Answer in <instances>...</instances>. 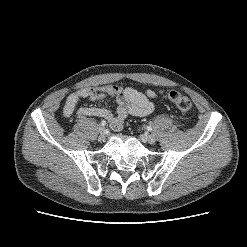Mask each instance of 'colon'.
<instances>
[{
    "label": "colon",
    "mask_w": 247,
    "mask_h": 247,
    "mask_svg": "<svg viewBox=\"0 0 247 247\" xmlns=\"http://www.w3.org/2000/svg\"><path fill=\"white\" fill-rule=\"evenodd\" d=\"M168 100L182 112H188L192 108L190 99L177 91H169L166 94Z\"/></svg>",
    "instance_id": "5ec220e1"
}]
</instances>
